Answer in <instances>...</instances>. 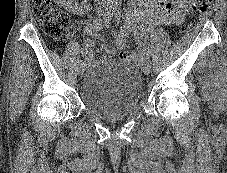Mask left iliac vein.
<instances>
[{"instance_id": "1", "label": "left iliac vein", "mask_w": 227, "mask_h": 173, "mask_svg": "<svg viewBox=\"0 0 227 173\" xmlns=\"http://www.w3.org/2000/svg\"><path fill=\"white\" fill-rule=\"evenodd\" d=\"M142 71L145 75H149L151 71V64L150 62L146 61L142 65Z\"/></svg>"}]
</instances>
